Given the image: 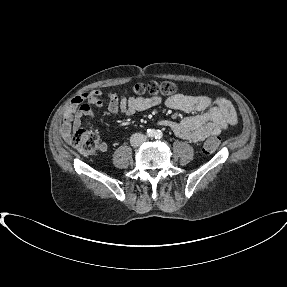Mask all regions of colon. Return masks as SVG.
Wrapping results in <instances>:
<instances>
[{"instance_id":"obj_1","label":"colon","mask_w":287,"mask_h":287,"mask_svg":"<svg viewBox=\"0 0 287 287\" xmlns=\"http://www.w3.org/2000/svg\"><path fill=\"white\" fill-rule=\"evenodd\" d=\"M132 90L138 97L174 96L178 93V87L169 81L137 84ZM71 144L84 155H91L100 149L98 137L94 133L82 129L74 131ZM219 144L220 140L218 138L210 137L205 141L203 150L205 153L211 154L217 150Z\"/></svg>"}]
</instances>
